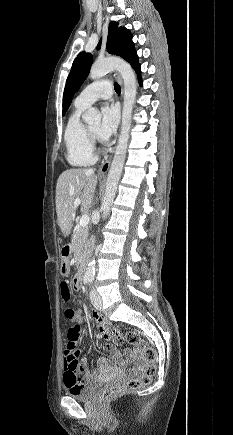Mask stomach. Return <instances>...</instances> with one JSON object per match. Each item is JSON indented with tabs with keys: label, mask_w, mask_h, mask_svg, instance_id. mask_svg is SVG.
<instances>
[{
	"label": "stomach",
	"mask_w": 233,
	"mask_h": 435,
	"mask_svg": "<svg viewBox=\"0 0 233 435\" xmlns=\"http://www.w3.org/2000/svg\"><path fill=\"white\" fill-rule=\"evenodd\" d=\"M70 273V265H69V261L66 259H63L61 262V267H60V274L62 276H68Z\"/></svg>",
	"instance_id": "obj_1"
}]
</instances>
